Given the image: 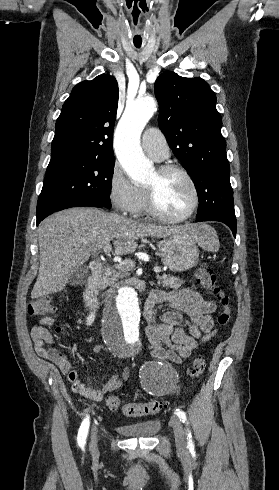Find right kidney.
I'll use <instances>...</instances> for the list:
<instances>
[{
  "label": "right kidney",
  "mask_w": 279,
  "mask_h": 490,
  "mask_svg": "<svg viewBox=\"0 0 279 490\" xmlns=\"http://www.w3.org/2000/svg\"><path fill=\"white\" fill-rule=\"evenodd\" d=\"M94 320H95V314L94 312H91V314H89V316H87L86 318V326H92Z\"/></svg>",
  "instance_id": "right-kidney-1"
}]
</instances>
